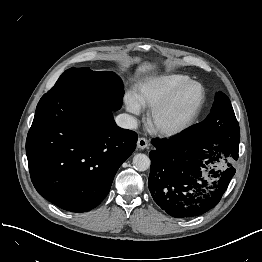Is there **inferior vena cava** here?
<instances>
[{
    "label": "inferior vena cava",
    "instance_id": "obj_1",
    "mask_svg": "<svg viewBox=\"0 0 262 262\" xmlns=\"http://www.w3.org/2000/svg\"><path fill=\"white\" fill-rule=\"evenodd\" d=\"M116 124L124 129H136L137 119L132 115L123 113L115 117Z\"/></svg>",
    "mask_w": 262,
    "mask_h": 262
}]
</instances>
